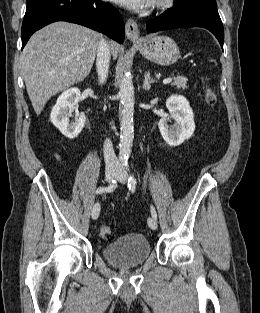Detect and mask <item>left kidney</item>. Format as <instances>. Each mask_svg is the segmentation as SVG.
Wrapping results in <instances>:
<instances>
[{"label":"left kidney","instance_id":"obj_1","mask_svg":"<svg viewBox=\"0 0 260 313\" xmlns=\"http://www.w3.org/2000/svg\"><path fill=\"white\" fill-rule=\"evenodd\" d=\"M166 107L169 110V117L160 119L158 126L160 133L167 144L179 146L189 139L195 130L194 114L187 99L181 95H174L167 99ZM175 122L169 125V119Z\"/></svg>","mask_w":260,"mask_h":313}]
</instances>
